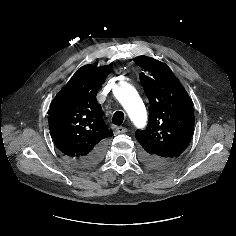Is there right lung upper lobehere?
Segmentation results:
<instances>
[{"mask_svg":"<svg viewBox=\"0 0 236 236\" xmlns=\"http://www.w3.org/2000/svg\"><path fill=\"white\" fill-rule=\"evenodd\" d=\"M111 70V65L83 66L51 102L50 133L66 157L85 156L113 135L104 124L102 108L95 98Z\"/></svg>","mask_w":236,"mask_h":236,"instance_id":"right-lung-upper-lobe-1","label":"right lung upper lobe"}]
</instances>
